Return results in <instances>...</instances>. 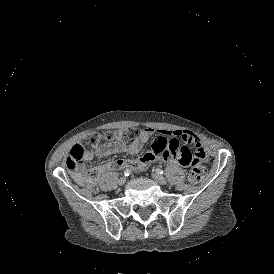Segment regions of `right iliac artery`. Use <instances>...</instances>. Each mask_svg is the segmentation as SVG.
<instances>
[{
    "mask_svg": "<svg viewBox=\"0 0 274 274\" xmlns=\"http://www.w3.org/2000/svg\"><path fill=\"white\" fill-rule=\"evenodd\" d=\"M131 174V170L130 169H126L125 171H124V175L125 176H129Z\"/></svg>",
    "mask_w": 274,
    "mask_h": 274,
    "instance_id": "right-iliac-artery-1",
    "label": "right iliac artery"
}]
</instances>
